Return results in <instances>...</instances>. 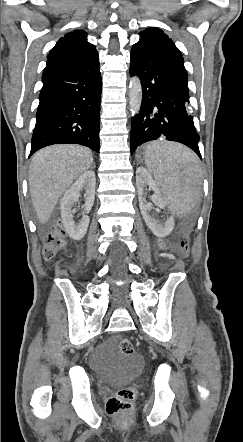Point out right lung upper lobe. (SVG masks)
<instances>
[{"mask_svg": "<svg viewBox=\"0 0 243 442\" xmlns=\"http://www.w3.org/2000/svg\"><path fill=\"white\" fill-rule=\"evenodd\" d=\"M95 53H97L96 48L87 41L86 33L82 30H75L60 38L50 50L44 70L80 61Z\"/></svg>", "mask_w": 243, "mask_h": 442, "instance_id": "right-lung-upper-lobe-1", "label": "right lung upper lobe"}]
</instances>
